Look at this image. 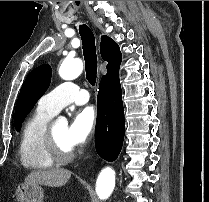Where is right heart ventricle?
I'll list each match as a JSON object with an SVG mask.
<instances>
[{"mask_svg": "<svg viewBox=\"0 0 209 202\" xmlns=\"http://www.w3.org/2000/svg\"><path fill=\"white\" fill-rule=\"evenodd\" d=\"M54 116L38 107L24 122L19 141V157L25 167L47 169L53 166L55 159L45 143V131Z\"/></svg>", "mask_w": 209, "mask_h": 202, "instance_id": "obj_1", "label": "right heart ventricle"}]
</instances>
